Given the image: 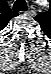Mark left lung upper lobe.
Returning <instances> with one entry per match:
<instances>
[{"label": "left lung upper lobe", "instance_id": "left-lung-upper-lobe-1", "mask_svg": "<svg viewBox=\"0 0 51 74\" xmlns=\"http://www.w3.org/2000/svg\"><path fill=\"white\" fill-rule=\"evenodd\" d=\"M43 17H46L45 13L37 15L35 17V20L38 21L42 25V23H43Z\"/></svg>", "mask_w": 51, "mask_h": 74}]
</instances>
